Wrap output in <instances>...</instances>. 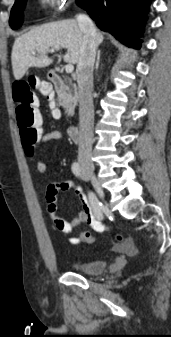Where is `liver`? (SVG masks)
<instances>
[{"label": "liver", "mask_w": 171, "mask_h": 337, "mask_svg": "<svg viewBox=\"0 0 171 337\" xmlns=\"http://www.w3.org/2000/svg\"><path fill=\"white\" fill-rule=\"evenodd\" d=\"M104 37L96 33L97 46ZM83 41V33L75 19L51 22L31 29L16 38L11 54L13 75L20 80L30 67L49 66L53 59L47 56L49 51L65 48L66 63L78 64ZM38 53V56H35Z\"/></svg>", "instance_id": "liver-1"}]
</instances>
